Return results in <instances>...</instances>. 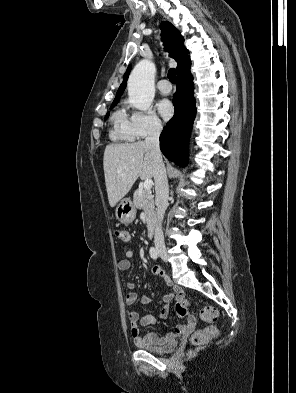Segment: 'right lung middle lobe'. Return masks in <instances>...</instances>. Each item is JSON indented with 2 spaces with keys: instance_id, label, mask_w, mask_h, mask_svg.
Instances as JSON below:
<instances>
[{
  "instance_id": "dd1d6c3e",
  "label": "right lung middle lobe",
  "mask_w": 296,
  "mask_h": 393,
  "mask_svg": "<svg viewBox=\"0 0 296 393\" xmlns=\"http://www.w3.org/2000/svg\"><path fill=\"white\" fill-rule=\"evenodd\" d=\"M117 102L118 101H114L113 103H112V105H111V107H110V109H112L116 104H117ZM108 116H109V113H107L106 114V117H105V119H107L108 118Z\"/></svg>"
}]
</instances>
